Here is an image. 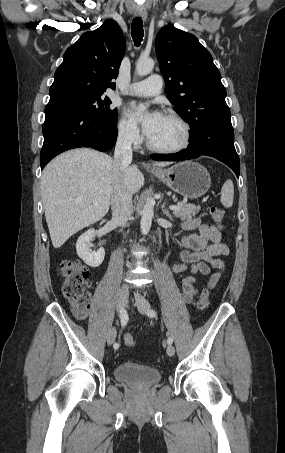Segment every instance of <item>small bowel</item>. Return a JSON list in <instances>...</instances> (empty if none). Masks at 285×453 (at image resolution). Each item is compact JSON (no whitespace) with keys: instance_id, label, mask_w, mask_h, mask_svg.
<instances>
[{"instance_id":"small-bowel-1","label":"small bowel","mask_w":285,"mask_h":453,"mask_svg":"<svg viewBox=\"0 0 285 453\" xmlns=\"http://www.w3.org/2000/svg\"><path fill=\"white\" fill-rule=\"evenodd\" d=\"M185 230L197 232L186 235L180 254L181 262L173 265V272L187 273L182 280V294L186 303H191L197 295L195 283L198 275L209 276L208 285L213 288L224 269L222 256L228 255V247L221 241V233L214 225L202 223L199 218L182 223ZM211 267L217 272L211 274Z\"/></svg>"}]
</instances>
